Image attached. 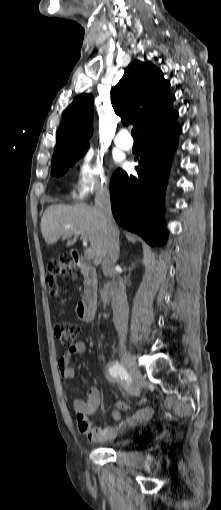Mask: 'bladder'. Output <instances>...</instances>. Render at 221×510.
I'll return each mask as SVG.
<instances>
[{
	"instance_id": "obj_1",
	"label": "bladder",
	"mask_w": 221,
	"mask_h": 510,
	"mask_svg": "<svg viewBox=\"0 0 221 510\" xmlns=\"http://www.w3.org/2000/svg\"><path fill=\"white\" fill-rule=\"evenodd\" d=\"M130 441L131 440L129 438H120V439H116V440H110L109 445H111L114 448H120V447H124L127 444H129Z\"/></svg>"
}]
</instances>
